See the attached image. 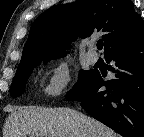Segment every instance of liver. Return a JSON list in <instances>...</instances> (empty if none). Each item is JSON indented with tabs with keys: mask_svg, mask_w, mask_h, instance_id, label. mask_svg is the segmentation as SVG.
<instances>
[{
	"mask_svg": "<svg viewBox=\"0 0 144 137\" xmlns=\"http://www.w3.org/2000/svg\"><path fill=\"white\" fill-rule=\"evenodd\" d=\"M118 137L101 122L70 108L19 107L7 118L3 137Z\"/></svg>",
	"mask_w": 144,
	"mask_h": 137,
	"instance_id": "liver-1",
	"label": "liver"
}]
</instances>
